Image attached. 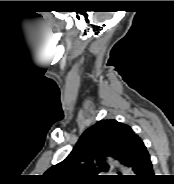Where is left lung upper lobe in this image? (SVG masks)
<instances>
[{"label": "left lung upper lobe", "mask_w": 174, "mask_h": 184, "mask_svg": "<svg viewBox=\"0 0 174 184\" xmlns=\"http://www.w3.org/2000/svg\"><path fill=\"white\" fill-rule=\"evenodd\" d=\"M141 139L131 127L116 120H101L80 137L69 156L45 174L55 184H95L109 166L104 156H112L127 165ZM123 176H119L121 178Z\"/></svg>", "instance_id": "5c2ea615"}]
</instances>
